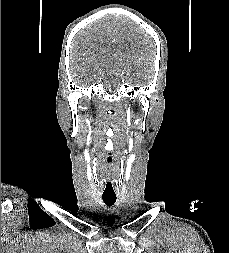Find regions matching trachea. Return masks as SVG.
Listing matches in <instances>:
<instances>
[{"label":"trachea","instance_id":"obj_1","mask_svg":"<svg viewBox=\"0 0 229 253\" xmlns=\"http://www.w3.org/2000/svg\"><path fill=\"white\" fill-rule=\"evenodd\" d=\"M104 203L110 207L116 202V197H103Z\"/></svg>","mask_w":229,"mask_h":253}]
</instances>
